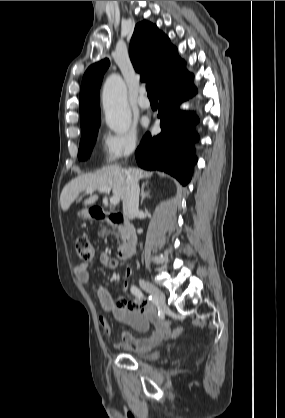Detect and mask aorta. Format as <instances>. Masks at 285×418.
<instances>
[{
    "label": "aorta",
    "mask_w": 285,
    "mask_h": 418,
    "mask_svg": "<svg viewBox=\"0 0 285 418\" xmlns=\"http://www.w3.org/2000/svg\"><path fill=\"white\" fill-rule=\"evenodd\" d=\"M102 101L107 126L117 134L126 133L131 125V111L126 85L118 74L110 75L105 81Z\"/></svg>",
    "instance_id": "762f6f07"
}]
</instances>
